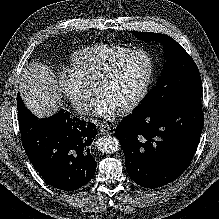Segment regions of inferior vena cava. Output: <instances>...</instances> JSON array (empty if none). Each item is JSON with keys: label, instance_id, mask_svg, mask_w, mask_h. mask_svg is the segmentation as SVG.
<instances>
[{"label": "inferior vena cava", "instance_id": "1", "mask_svg": "<svg viewBox=\"0 0 219 219\" xmlns=\"http://www.w3.org/2000/svg\"><path fill=\"white\" fill-rule=\"evenodd\" d=\"M90 109V105L85 102H82L76 106V111L84 115L87 114L90 111Z\"/></svg>", "mask_w": 219, "mask_h": 219}]
</instances>
